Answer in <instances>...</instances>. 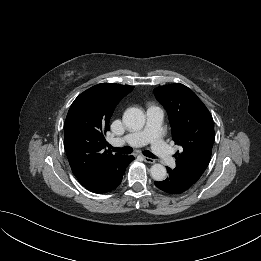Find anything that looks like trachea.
<instances>
[{"label": "trachea", "mask_w": 261, "mask_h": 261, "mask_svg": "<svg viewBox=\"0 0 261 261\" xmlns=\"http://www.w3.org/2000/svg\"><path fill=\"white\" fill-rule=\"evenodd\" d=\"M110 148L114 152H119V153H122V154H131L133 152V149L130 148V147L114 148V147L110 146ZM143 155H145L149 158H154V155L150 151H143Z\"/></svg>", "instance_id": "trachea-1"}]
</instances>
